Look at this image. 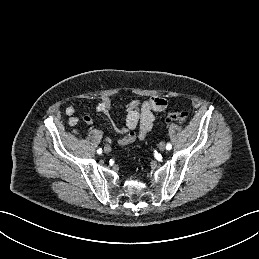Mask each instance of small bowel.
I'll return each mask as SVG.
<instances>
[{
	"label": "small bowel",
	"mask_w": 259,
	"mask_h": 259,
	"mask_svg": "<svg viewBox=\"0 0 259 259\" xmlns=\"http://www.w3.org/2000/svg\"><path fill=\"white\" fill-rule=\"evenodd\" d=\"M113 104L108 97H103L96 105V111L108 115ZM167 107L166 99L159 96H152L145 100H133L124 108L126 111L125 126L119 127L118 131L121 136L117 139L119 145H128L135 140H143L151 131L155 112H161ZM67 122L70 126H75L78 123V118L75 116V108L68 106L65 109ZM83 121L87 124H92L93 119L85 115Z\"/></svg>",
	"instance_id": "1"
}]
</instances>
